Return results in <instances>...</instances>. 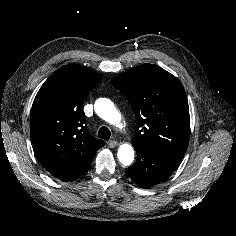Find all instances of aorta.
<instances>
[{
  "label": "aorta",
  "instance_id": "aorta-1",
  "mask_svg": "<svg viewBox=\"0 0 236 236\" xmlns=\"http://www.w3.org/2000/svg\"><path fill=\"white\" fill-rule=\"evenodd\" d=\"M94 108L97 115L106 122L114 125L120 123L121 115L109 99H99ZM117 156L123 165L128 166L134 160V149L130 144H122L118 149Z\"/></svg>",
  "mask_w": 236,
  "mask_h": 236
}]
</instances>
